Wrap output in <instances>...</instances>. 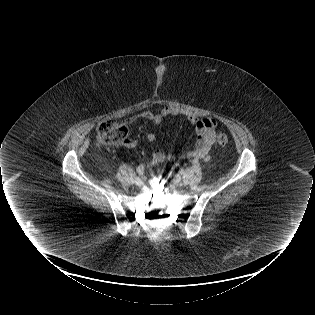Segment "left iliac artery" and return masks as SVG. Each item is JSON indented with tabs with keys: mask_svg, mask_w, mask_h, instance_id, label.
I'll use <instances>...</instances> for the list:
<instances>
[{
	"mask_svg": "<svg viewBox=\"0 0 315 315\" xmlns=\"http://www.w3.org/2000/svg\"><path fill=\"white\" fill-rule=\"evenodd\" d=\"M193 163H194V164H197V163H198V161H197V160H194V161H193ZM180 173H181V174H184V171H183V170H181V171H180Z\"/></svg>",
	"mask_w": 315,
	"mask_h": 315,
	"instance_id": "44dca946",
	"label": "left iliac artery"
}]
</instances>
